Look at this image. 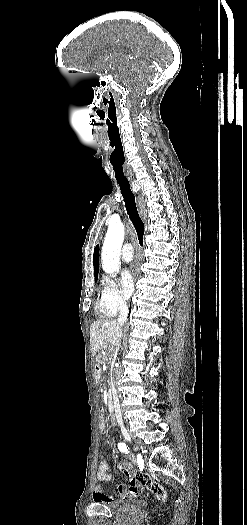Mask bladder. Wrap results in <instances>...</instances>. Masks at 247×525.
<instances>
[{"mask_svg": "<svg viewBox=\"0 0 247 525\" xmlns=\"http://www.w3.org/2000/svg\"><path fill=\"white\" fill-rule=\"evenodd\" d=\"M118 505H119L118 503H113V502H108V503H106V507H107L109 510H111V511L116 510V508H117Z\"/></svg>", "mask_w": 247, "mask_h": 525, "instance_id": "1", "label": "bladder"}]
</instances>
